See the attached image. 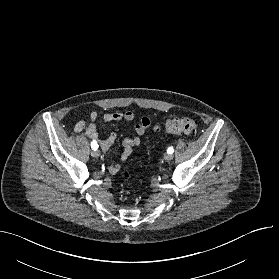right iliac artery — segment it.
<instances>
[{
	"instance_id": "right-iliac-artery-1",
	"label": "right iliac artery",
	"mask_w": 279,
	"mask_h": 279,
	"mask_svg": "<svg viewBox=\"0 0 279 279\" xmlns=\"http://www.w3.org/2000/svg\"><path fill=\"white\" fill-rule=\"evenodd\" d=\"M91 147H92L93 150H96V149L98 148L97 142L93 141V142L91 143Z\"/></svg>"
}]
</instances>
